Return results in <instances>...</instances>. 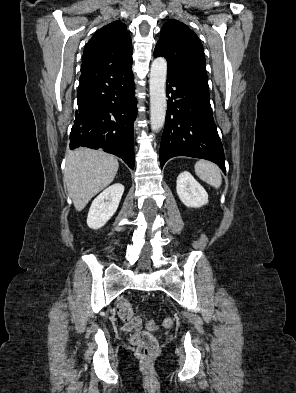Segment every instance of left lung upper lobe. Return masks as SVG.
<instances>
[{
  "label": "left lung upper lobe",
  "instance_id": "1",
  "mask_svg": "<svg viewBox=\"0 0 296 393\" xmlns=\"http://www.w3.org/2000/svg\"><path fill=\"white\" fill-rule=\"evenodd\" d=\"M154 56L168 60V72L207 78L203 46L197 35L178 20L171 19L162 27Z\"/></svg>",
  "mask_w": 296,
  "mask_h": 393
}]
</instances>
